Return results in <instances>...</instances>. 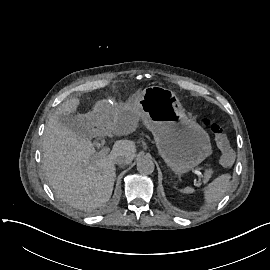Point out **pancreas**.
Wrapping results in <instances>:
<instances>
[{
    "mask_svg": "<svg viewBox=\"0 0 270 270\" xmlns=\"http://www.w3.org/2000/svg\"><path fill=\"white\" fill-rule=\"evenodd\" d=\"M212 173H213V171L211 169L205 171V179L204 180L206 182L211 178Z\"/></svg>",
    "mask_w": 270,
    "mask_h": 270,
    "instance_id": "obj_1",
    "label": "pancreas"
}]
</instances>
